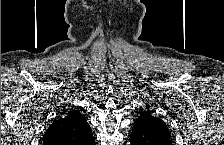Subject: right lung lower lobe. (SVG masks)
<instances>
[{
  "mask_svg": "<svg viewBox=\"0 0 224 145\" xmlns=\"http://www.w3.org/2000/svg\"><path fill=\"white\" fill-rule=\"evenodd\" d=\"M95 144V140H94V142L92 143V145H94Z\"/></svg>",
  "mask_w": 224,
  "mask_h": 145,
  "instance_id": "obj_1",
  "label": "right lung lower lobe"
}]
</instances>
